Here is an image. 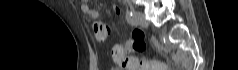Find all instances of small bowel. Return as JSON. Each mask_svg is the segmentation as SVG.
<instances>
[{"mask_svg": "<svg viewBox=\"0 0 238 70\" xmlns=\"http://www.w3.org/2000/svg\"><path fill=\"white\" fill-rule=\"evenodd\" d=\"M80 3H81V10L85 15H87L88 17H90L92 19H97L99 17V12L96 9L90 7L85 0H80ZM114 11L116 14H120L119 8L116 7L114 9ZM93 30H94V35L98 41H104L110 32L109 27L102 22H96L93 25ZM124 45H125L124 46V51H125L124 54L127 52H131L135 49V48L130 47L129 40H127L124 43ZM112 54H113V52H112ZM114 60L116 61V59H114Z\"/></svg>", "mask_w": 238, "mask_h": 70, "instance_id": "small-bowel-1", "label": "small bowel"}]
</instances>
